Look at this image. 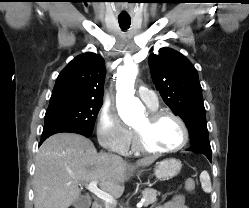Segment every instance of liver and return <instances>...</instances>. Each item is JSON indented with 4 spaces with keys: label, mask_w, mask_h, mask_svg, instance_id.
Segmentation results:
<instances>
[{
    "label": "liver",
    "mask_w": 249,
    "mask_h": 208,
    "mask_svg": "<svg viewBox=\"0 0 249 208\" xmlns=\"http://www.w3.org/2000/svg\"><path fill=\"white\" fill-rule=\"evenodd\" d=\"M155 160L146 157L136 165L149 166ZM130 167L121 157L97 153L92 141L82 135H52L35 158L34 208H68L79 198L82 182L96 181L103 191L119 198Z\"/></svg>",
    "instance_id": "liver-1"
}]
</instances>
